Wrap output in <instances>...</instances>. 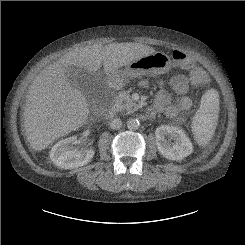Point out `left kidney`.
<instances>
[{"instance_id": "1", "label": "left kidney", "mask_w": 245, "mask_h": 245, "mask_svg": "<svg viewBox=\"0 0 245 245\" xmlns=\"http://www.w3.org/2000/svg\"><path fill=\"white\" fill-rule=\"evenodd\" d=\"M155 136L157 149L166 159L179 161L193 152V145L182 129L161 125Z\"/></svg>"}]
</instances>
